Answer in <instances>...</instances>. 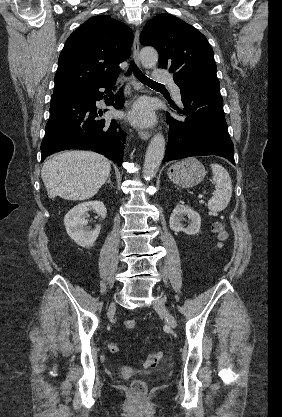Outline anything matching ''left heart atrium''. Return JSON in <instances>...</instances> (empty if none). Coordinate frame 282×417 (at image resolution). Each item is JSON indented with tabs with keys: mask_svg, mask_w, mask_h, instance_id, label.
<instances>
[{
	"mask_svg": "<svg viewBox=\"0 0 282 417\" xmlns=\"http://www.w3.org/2000/svg\"><path fill=\"white\" fill-rule=\"evenodd\" d=\"M133 118L139 123H149L152 121V110L146 100L136 104L132 112Z\"/></svg>",
	"mask_w": 282,
	"mask_h": 417,
	"instance_id": "left-heart-atrium-1",
	"label": "left heart atrium"
}]
</instances>
